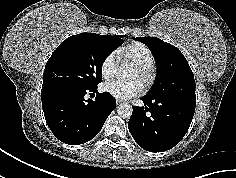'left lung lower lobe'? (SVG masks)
<instances>
[{
	"label": "left lung lower lobe",
	"mask_w": 236,
	"mask_h": 178,
	"mask_svg": "<svg viewBox=\"0 0 236 178\" xmlns=\"http://www.w3.org/2000/svg\"><path fill=\"white\" fill-rule=\"evenodd\" d=\"M145 107H133L128 128L134 140L150 152H163L179 143L191 124L196 102L142 97Z\"/></svg>",
	"instance_id": "left-lung-lower-lobe-1"
}]
</instances>
